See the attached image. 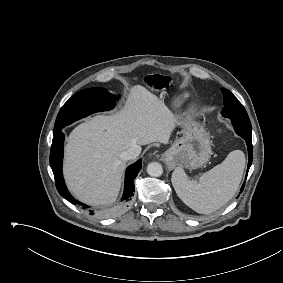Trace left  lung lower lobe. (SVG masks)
<instances>
[{
    "label": "left lung lower lobe",
    "mask_w": 283,
    "mask_h": 283,
    "mask_svg": "<svg viewBox=\"0 0 283 283\" xmlns=\"http://www.w3.org/2000/svg\"><path fill=\"white\" fill-rule=\"evenodd\" d=\"M238 123H243L245 121H241V120H237ZM238 127V131H239V136H241L247 144V148H248V166H247V172H246V176L248 174L249 168L252 164V157H253V147H252V128H251V123L250 124H237ZM245 186V182L243 183L240 191L242 192Z\"/></svg>",
    "instance_id": "0a47b994"
}]
</instances>
